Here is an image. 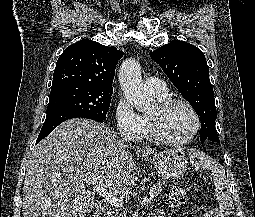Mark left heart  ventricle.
I'll return each mask as SVG.
<instances>
[{"label": "left heart ventricle", "instance_id": "left-heart-ventricle-1", "mask_svg": "<svg viewBox=\"0 0 255 217\" xmlns=\"http://www.w3.org/2000/svg\"><path fill=\"white\" fill-rule=\"evenodd\" d=\"M149 116L157 121L161 133L173 140L187 138L195 127L192 113L182 104H174L164 112L156 107Z\"/></svg>", "mask_w": 255, "mask_h": 217}]
</instances>
